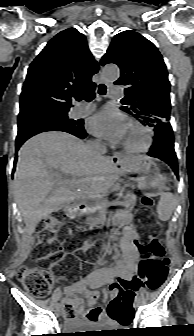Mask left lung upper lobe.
Returning a JSON list of instances; mask_svg holds the SVG:
<instances>
[{
	"label": "left lung upper lobe",
	"instance_id": "obj_1",
	"mask_svg": "<svg viewBox=\"0 0 194 336\" xmlns=\"http://www.w3.org/2000/svg\"><path fill=\"white\" fill-rule=\"evenodd\" d=\"M107 63L120 67L121 76L114 84L126 87L121 110L151 127L169 122L170 82L163 58L152 42L135 31H123L113 38L101 59L102 65Z\"/></svg>",
	"mask_w": 194,
	"mask_h": 336
}]
</instances>
